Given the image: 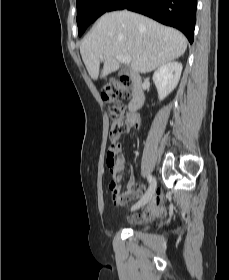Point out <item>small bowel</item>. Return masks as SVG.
I'll return each instance as SVG.
<instances>
[{
  "label": "small bowel",
  "mask_w": 229,
  "mask_h": 280,
  "mask_svg": "<svg viewBox=\"0 0 229 280\" xmlns=\"http://www.w3.org/2000/svg\"><path fill=\"white\" fill-rule=\"evenodd\" d=\"M124 162L125 158L122 154H120L116 159L114 168L110 170V175L112 177L109 183L111 199L113 204L118 207L124 206L133 199L140 198L145 190V185L136 184L132 176L128 178L125 184V191L120 190V188L118 187V183L120 181V174L124 169ZM139 208V214L129 215V219L133 223H141L143 221L162 216L164 214V207L162 205L160 191H154L153 193H151L147 203Z\"/></svg>",
  "instance_id": "c3829d8e"
}]
</instances>
